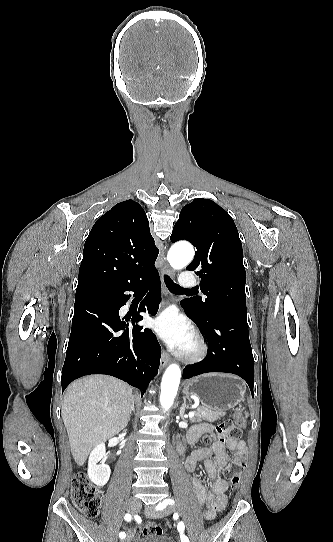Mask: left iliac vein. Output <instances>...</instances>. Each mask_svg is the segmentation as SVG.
<instances>
[{"label": "left iliac vein", "instance_id": "obj_1", "mask_svg": "<svg viewBox=\"0 0 333 542\" xmlns=\"http://www.w3.org/2000/svg\"><path fill=\"white\" fill-rule=\"evenodd\" d=\"M152 508L153 507H151V506L146 508V511H145L146 516H148V517H154V516L163 517V516L167 515L172 510V506H167L166 509L156 513L154 511H152Z\"/></svg>", "mask_w": 333, "mask_h": 542}]
</instances>
